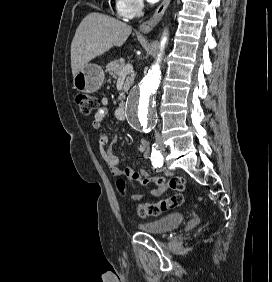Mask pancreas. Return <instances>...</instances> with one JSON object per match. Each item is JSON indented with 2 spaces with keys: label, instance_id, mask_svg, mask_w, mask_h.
Returning a JSON list of instances; mask_svg holds the SVG:
<instances>
[{
  "label": "pancreas",
  "instance_id": "1",
  "mask_svg": "<svg viewBox=\"0 0 272 282\" xmlns=\"http://www.w3.org/2000/svg\"><path fill=\"white\" fill-rule=\"evenodd\" d=\"M125 62L123 58L120 59H116L111 61L110 63H108V65L106 66V72H108L113 78L117 79V77L120 76V73L122 71V69L125 67ZM128 76L126 78L124 87H123V91L120 93L118 99L119 101H121L120 103L123 104V99L125 98V93L128 92V90L130 89L134 78H135V74L134 72H129L127 73Z\"/></svg>",
  "mask_w": 272,
  "mask_h": 282
}]
</instances>
